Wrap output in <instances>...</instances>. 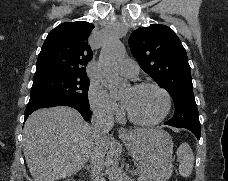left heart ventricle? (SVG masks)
Masks as SVG:
<instances>
[{
    "label": "left heart ventricle",
    "instance_id": "obj_1",
    "mask_svg": "<svg viewBox=\"0 0 228 181\" xmlns=\"http://www.w3.org/2000/svg\"><path fill=\"white\" fill-rule=\"evenodd\" d=\"M119 77L128 80L127 77ZM122 95L131 113L141 120L156 117L163 106V98L160 93L150 87L132 89L129 82V86L123 91Z\"/></svg>",
    "mask_w": 228,
    "mask_h": 181
}]
</instances>
